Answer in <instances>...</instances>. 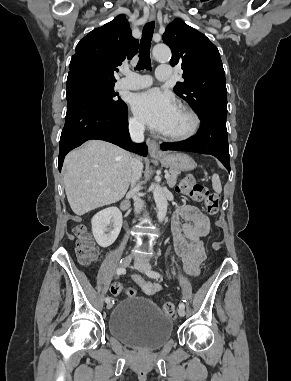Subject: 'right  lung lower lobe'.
<instances>
[{
    "mask_svg": "<svg viewBox=\"0 0 291 381\" xmlns=\"http://www.w3.org/2000/svg\"><path fill=\"white\" fill-rule=\"evenodd\" d=\"M67 113L60 138L58 169L61 171L65 155L87 140L99 139L126 150L146 156L145 143L134 144L128 132L127 106L109 109L84 89L66 90Z\"/></svg>",
    "mask_w": 291,
    "mask_h": 381,
    "instance_id": "obj_1",
    "label": "right lung lower lobe"
}]
</instances>
